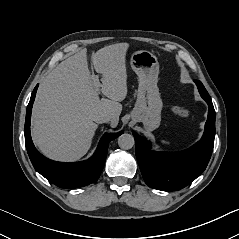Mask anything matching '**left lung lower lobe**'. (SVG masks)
Instances as JSON below:
<instances>
[{"mask_svg": "<svg viewBox=\"0 0 239 239\" xmlns=\"http://www.w3.org/2000/svg\"><path fill=\"white\" fill-rule=\"evenodd\" d=\"M201 97L209 106L203 137L187 150L167 153L150 151V142L133 132L135 151L146 184L157 190L176 191L194 181L210 160L215 137V110L203 84L194 80Z\"/></svg>", "mask_w": 239, "mask_h": 239, "instance_id": "0a47b994", "label": "left lung lower lobe"}]
</instances>
